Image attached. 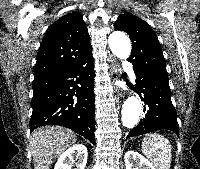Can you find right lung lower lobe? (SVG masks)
Here are the masks:
<instances>
[{"mask_svg": "<svg viewBox=\"0 0 200 169\" xmlns=\"http://www.w3.org/2000/svg\"><path fill=\"white\" fill-rule=\"evenodd\" d=\"M94 59L33 81L30 132L43 125L72 129L95 144Z\"/></svg>", "mask_w": 200, "mask_h": 169, "instance_id": "98d812e1", "label": "right lung lower lobe"}]
</instances>
